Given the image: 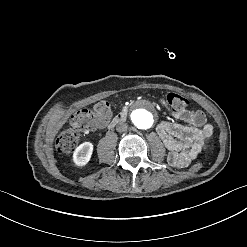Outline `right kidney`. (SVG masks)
I'll return each mask as SVG.
<instances>
[{
	"label": "right kidney",
	"mask_w": 247,
	"mask_h": 247,
	"mask_svg": "<svg viewBox=\"0 0 247 247\" xmlns=\"http://www.w3.org/2000/svg\"><path fill=\"white\" fill-rule=\"evenodd\" d=\"M93 145L90 142H84L79 145L73 153V161L77 166L86 165L92 155Z\"/></svg>",
	"instance_id": "ca27d5eb"
}]
</instances>
